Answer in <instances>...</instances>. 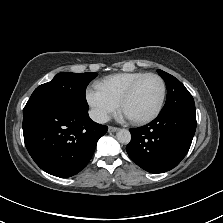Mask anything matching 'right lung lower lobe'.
I'll list each match as a JSON object with an SVG mask.
<instances>
[{
    "mask_svg": "<svg viewBox=\"0 0 223 223\" xmlns=\"http://www.w3.org/2000/svg\"><path fill=\"white\" fill-rule=\"evenodd\" d=\"M107 130L85 110L55 107L23 113L29 154L42 170L61 178L73 176L87 165Z\"/></svg>",
    "mask_w": 223,
    "mask_h": 223,
    "instance_id": "obj_1",
    "label": "right lung lower lobe"
}]
</instances>
